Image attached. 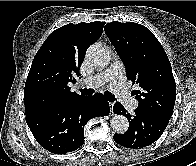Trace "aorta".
<instances>
[{
  "mask_svg": "<svg viewBox=\"0 0 196 166\" xmlns=\"http://www.w3.org/2000/svg\"><path fill=\"white\" fill-rule=\"evenodd\" d=\"M87 60L95 66L104 67L110 63L111 52L102 44L91 45L86 52ZM110 126L116 133L122 134L128 130V119L123 115H115L111 121Z\"/></svg>",
  "mask_w": 196,
  "mask_h": 166,
  "instance_id": "obj_1",
  "label": "aorta"
}]
</instances>
